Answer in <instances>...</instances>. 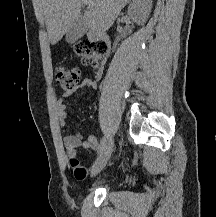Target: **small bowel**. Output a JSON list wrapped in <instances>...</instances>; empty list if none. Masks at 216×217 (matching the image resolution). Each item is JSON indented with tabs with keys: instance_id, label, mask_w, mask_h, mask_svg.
<instances>
[{
	"instance_id": "obj_1",
	"label": "small bowel",
	"mask_w": 216,
	"mask_h": 217,
	"mask_svg": "<svg viewBox=\"0 0 216 217\" xmlns=\"http://www.w3.org/2000/svg\"><path fill=\"white\" fill-rule=\"evenodd\" d=\"M99 75H100V72L96 74V78H90V77L84 78L81 81L79 87H76L72 90L64 91L62 97H60L57 100L56 110L59 116V123L62 127H66L72 124V121L67 114V106L65 104V99L72 96L77 91L78 88H86V89H91V90L96 89L97 78L99 77ZM63 142H64L66 153L68 157L70 158V160L77 159V149L79 148H84V149L91 148L95 151L96 150L98 151L99 146H100L97 138L94 135L88 134L86 137H84L78 132L67 133L63 138ZM79 168L81 169L82 173L80 176L78 177L75 176V177L78 180H84L87 176V170L86 168L80 165H79Z\"/></svg>"
}]
</instances>
